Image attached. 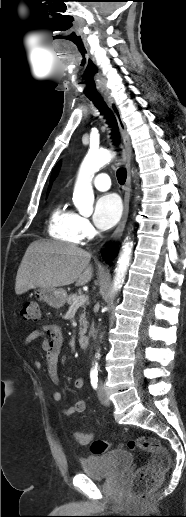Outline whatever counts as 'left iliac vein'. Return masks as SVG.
Instances as JSON below:
<instances>
[{
    "label": "left iliac vein",
    "mask_w": 186,
    "mask_h": 517,
    "mask_svg": "<svg viewBox=\"0 0 186 517\" xmlns=\"http://www.w3.org/2000/svg\"><path fill=\"white\" fill-rule=\"evenodd\" d=\"M98 398H99V401L103 405L108 406L110 404V401L105 393V389L102 384L100 385V387L98 389Z\"/></svg>",
    "instance_id": "4c4485c4"
}]
</instances>
